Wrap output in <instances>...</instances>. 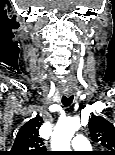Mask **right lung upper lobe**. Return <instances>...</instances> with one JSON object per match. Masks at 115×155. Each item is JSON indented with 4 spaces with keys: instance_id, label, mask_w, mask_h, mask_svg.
<instances>
[{
    "instance_id": "obj_1",
    "label": "right lung upper lobe",
    "mask_w": 115,
    "mask_h": 155,
    "mask_svg": "<svg viewBox=\"0 0 115 155\" xmlns=\"http://www.w3.org/2000/svg\"><path fill=\"white\" fill-rule=\"evenodd\" d=\"M42 123L43 120L39 115L25 123L19 129L9 155H48L39 137Z\"/></svg>"
}]
</instances>
